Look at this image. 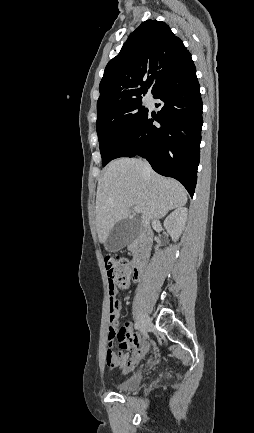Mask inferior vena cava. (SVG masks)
<instances>
[{
  "label": "inferior vena cava",
  "instance_id": "1",
  "mask_svg": "<svg viewBox=\"0 0 254 433\" xmlns=\"http://www.w3.org/2000/svg\"><path fill=\"white\" fill-rule=\"evenodd\" d=\"M145 168H146L147 170L150 169V165H149L147 162L145 163Z\"/></svg>",
  "mask_w": 254,
  "mask_h": 433
}]
</instances>
